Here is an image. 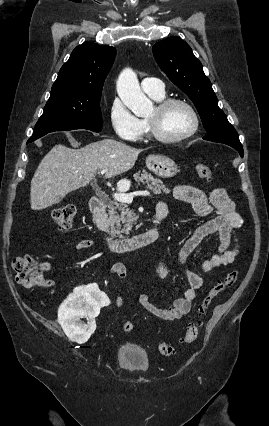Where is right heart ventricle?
Instances as JSON below:
<instances>
[{
    "mask_svg": "<svg viewBox=\"0 0 269 426\" xmlns=\"http://www.w3.org/2000/svg\"><path fill=\"white\" fill-rule=\"evenodd\" d=\"M154 100H156V101H161V100H163L164 99V96H162V97H154V96H151ZM143 122V126H144V132H147L148 131V128H147V125H146V122L145 121H142Z\"/></svg>",
    "mask_w": 269,
    "mask_h": 426,
    "instance_id": "obj_1",
    "label": "right heart ventricle"
}]
</instances>
